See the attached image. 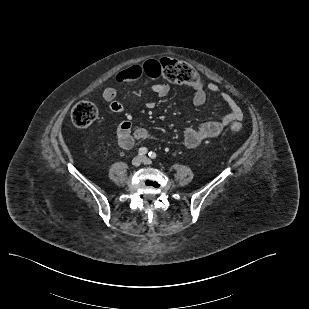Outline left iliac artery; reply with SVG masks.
Segmentation results:
<instances>
[{
  "label": "left iliac artery",
  "mask_w": 309,
  "mask_h": 309,
  "mask_svg": "<svg viewBox=\"0 0 309 309\" xmlns=\"http://www.w3.org/2000/svg\"><path fill=\"white\" fill-rule=\"evenodd\" d=\"M148 155H149V157L152 158V159H155L156 156H157L155 152H149Z\"/></svg>",
  "instance_id": "obj_1"
}]
</instances>
